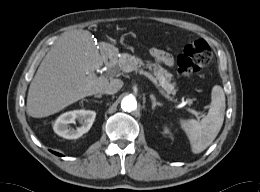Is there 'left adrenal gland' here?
<instances>
[{
    "label": "left adrenal gland",
    "instance_id": "a2214340",
    "mask_svg": "<svg viewBox=\"0 0 260 192\" xmlns=\"http://www.w3.org/2000/svg\"><path fill=\"white\" fill-rule=\"evenodd\" d=\"M150 99L152 100V110H154L156 106H162L161 103L156 101V98L153 94H150Z\"/></svg>",
    "mask_w": 260,
    "mask_h": 192
}]
</instances>
